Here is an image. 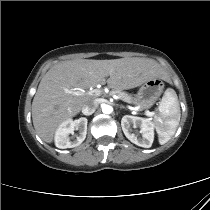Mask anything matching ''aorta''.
<instances>
[{"instance_id":"762f6f07","label":"aorta","mask_w":210,"mask_h":210,"mask_svg":"<svg viewBox=\"0 0 210 210\" xmlns=\"http://www.w3.org/2000/svg\"><path fill=\"white\" fill-rule=\"evenodd\" d=\"M112 111H113V108L110 105L105 104L102 106V112L104 114H110V113H112Z\"/></svg>"}]
</instances>
